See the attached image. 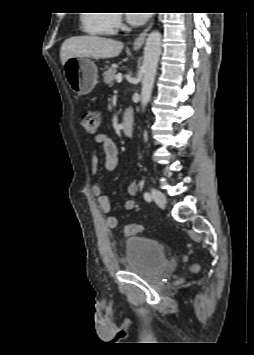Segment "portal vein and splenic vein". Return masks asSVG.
Segmentation results:
<instances>
[{
  "instance_id": "portal-vein-and-splenic-vein-1",
  "label": "portal vein and splenic vein",
  "mask_w": 254,
  "mask_h": 355,
  "mask_svg": "<svg viewBox=\"0 0 254 355\" xmlns=\"http://www.w3.org/2000/svg\"><path fill=\"white\" fill-rule=\"evenodd\" d=\"M122 80H123L122 74H121V73L117 74V75H116V81H117L118 83H120Z\"/></svg>"
}]
</instances>
